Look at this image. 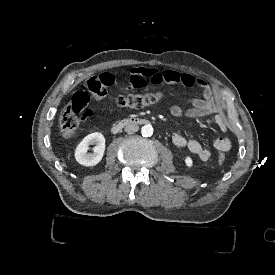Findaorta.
Listing matches in <instances>:
<instances>
[{"instance_id": "762f6f07", "label": "aorta", "mask_w": 275, "mask_h": 275, "mask_svg": "<svg viewBox=\"0 0 275 275\" xmlns=\"http://www.w3.org/2000/svg\"><path fill=\"white\" fill-rule=\"evenodd\" d=\"M141 134L143 137H151L153 135V127L151 125H144L141 128Z\"/></svg>"}]
</instances>
